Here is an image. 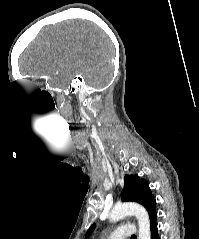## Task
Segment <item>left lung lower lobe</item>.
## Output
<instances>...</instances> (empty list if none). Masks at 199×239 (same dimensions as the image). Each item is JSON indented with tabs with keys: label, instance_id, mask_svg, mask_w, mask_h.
Returning a JSON list of instances; mask_svg holds the SVG:
<instances>
[{
	"label": "left lung lower lobe",
	"instance_id": "0a47b994",
	"mask_svg": "<svg viewBox=\"0 0 199 239\" xmlns=\"http://www.w3.org/2000/svg\"><path fill=\"white\" fill-rule=\"evenodd\" d=\"M157 213L155 212L150 217V233H151V239H160L158 232H157Z\"/></svg>",
	"mask_w": 199,
	"mask_h": 239
}]
</instances>
